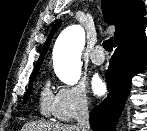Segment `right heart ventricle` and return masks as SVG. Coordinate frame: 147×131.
<instances>
[{"mask_svg":"<svg viewBox=\"0 0 147 131\" xmlns=\"http://www.w3.org/2000/svg\"><path fill=\"white\" fill-rule=\"evenodd\" d=\"M53 93L49 83H46L40 93L39 109L42 115L49 116L52 114Z\"/></svg>","mask_w":147,"mask_h":131,"instance_id":"e07e8e85","label":"right heart ventricle"}]
</instances>
